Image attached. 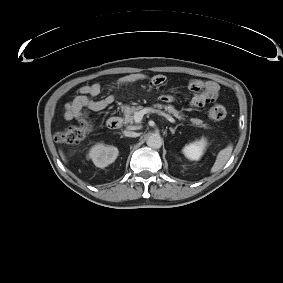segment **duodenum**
I'll use <instances>...</instances> for the list:
<instances>
[{
  "instance_id": "1",
  "label": "duodenum",
  "mask_w": 283,
  "mask_h": 283,
  "mask_svg": "<svg viewBox=\"0 0 283 283\" xmlns=\"http://www.w3.org/2000/svg\"><path fill=\"white\" fill-rule=\"evenodd\" d=\"M106 125L109 129L115 130L122 125V119L118 116H113L107 119Z\"/></svg>"
}]
</instances>
